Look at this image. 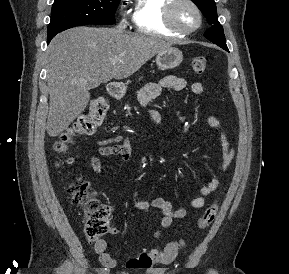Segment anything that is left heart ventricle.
<instances>
[{
	"instance_id": "obj_1",
	"label": "left heart ventricle",
	"mask_w": 289,
	"mask_h": 274,
	"mask_svg": "<svg viewBox=\"0 0 289 274\" xmlns=\"http://www.w3.org/2000/svg\"><path fill=\"white\" fill-rule=\"evenodd\" d=\"M175 22L182 28L189 29L197 24L198 18L194 9L187 3H180L174 11Z\"/></svg>"
}]
</instances>
